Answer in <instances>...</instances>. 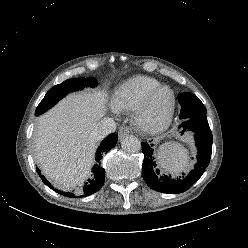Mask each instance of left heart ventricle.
Returning <instances> with one entry per match:
<instances>
[{
    "label": "left heart ventricle",
    "mask_w": 248,
    "mask_h": 248,
    "mask_svg": "<svg viewBox=\"0 0 248 248\" xmlns=\"http://www.w3.org/2000/svg\"><path fill=\"white\" fill-rule=\"evenodd\" d=\"M170 100V93L167 90L160 92L147 110L145 118L150 122L161 120L169 107Z\"/></svg>",
    "instance_id": "obj_1"
}]
</instances>
